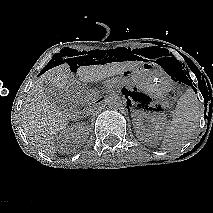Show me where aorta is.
Wrapping results in <instances>:
<instances>
[{
  "label": "aorta",
  "instance_id": "obj_1",
  "mask_svg": "<svg viewBox=\"0 0 213 213\" xmlns=\"http://www.w3.org/2000/svg\"><path fill=\"white\" fill-rule=\"evenodd\" d=\"M106 104L110 109H120L123 106L122 98L117 93H112L106 99Z\"/></svg>",
  "mask_w": 213,
  "mask_h": 213
}]
</instances>
